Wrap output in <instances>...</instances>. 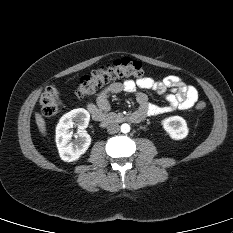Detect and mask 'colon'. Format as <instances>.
<instances>
[{"label": "colon", "mask_w": 233, "mask_h": 233, "mask_svg": "<svg viewBox=\"0 0 233 233\" xmlns=\"http://www.w3.org/2000/svg\"><path fill=\"white\" fill-rule=\"evenodd\" d=\"M144 75L145 70L139 61L130 58L118 59L82 77L77 85L75 95L77 98H84L92 95L97 89L111 81L127 77L143 78ZM39 103L45 116L56 115L60 108L58 89L54 85L47 86L40 97ZM205 107L204 101L197 102L195 106L198 111L204 110Z\"/></svg>", "instance_id": "obj_1"}]
</instances>
